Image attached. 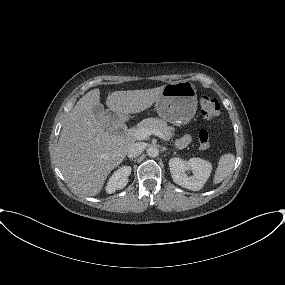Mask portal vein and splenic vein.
Wrapping results in <instances>:
<instances>
[{
	"label": "portal vein and splenic vein",
	"instance_id": "18ae733b",
	"mask_svg": "<svg viewBox=\"0 0 285 285\" xmlns=\"http://www.w3.org/2000/svg\"><path fill=\"white\" fill-rule=\"evenodd\" d=\"M150 135H156L159 138L164 139L163 133L158 129L142 128V129H138V130L134 131V133H133V136L137 140H144V139L148 138Z\"/></svg>",
	"mask_w": 285,
	"mask_h": 285
}]
</instances>
